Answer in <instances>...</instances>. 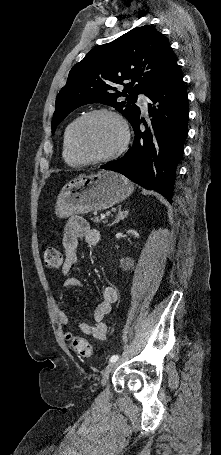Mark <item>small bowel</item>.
Here are the masks:
<instances>
[{
	"instance_id": "1",
	"label": "small bowel",
	"mask_w": 221,
	"mask_h": 455,
	"mask_svg": "<svg viewBox=\"0 0 221 455\" xmlns=\"http://www.w3.org/2000/svg\"><path fill=\"white\" fill-rule=\"evenodd\" d=\"M82 239L88 246H96L100 243L101 235L98 230L90 228L84 219L73 217L68 221L62 239L64 249L62 273L65 276H68L79 265L77 248ZM73 287H82V283L76 278L68 277L63 284V288L69 289ZM117 298L118 293L114 286L104 287L101 293V300L96 304L93 312L94 324L79 321L78 326L81 332L96 340H105L108 326L104 319L110 313L111 307L117 301ZM58 319L64 326H69L71 321L69 313L65 310L58 311Z\"/></svg>"
}]
</instances>
